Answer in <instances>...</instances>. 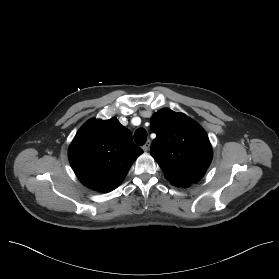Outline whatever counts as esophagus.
Here are the masks:
<instances>
[{
    "mask_svg": "<svg viewBox=\"0 0 279 279\" xmlns=\"http://www.w3.org/2000/svg\"><path fill=\"white\" fill-rule=\"evenodd\" d=\"M150 144H151V141L150 140H147V142L145 143V145H143L142 149L147 152L149 150V147H150Z\"/></svg>",
    "mask_w": 279,
    "mask_h": 279,
    "instance_id": "esophagus-1",
    "label": "esophagus"
}]
</instances>
